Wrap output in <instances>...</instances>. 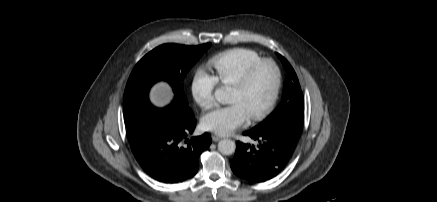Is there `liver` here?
Instances as JSON below:
<instances>
[{
  "mask_svg": "<svg viewBox=\"0 0 437 202\" xmlns=\"http://www.w3.org/2000/svg\"><path fill=\"white\" fill-rule=\"evenodd\" d=\"M171 88L166 83H158L150 91V101L158 106L163 107L167 105L172 98Z\"/></svg>",
  "mask_w": 437,
  "mask_h": 202,
  "instance_id": "1",
  "label": "liver"
}]
</instances>
